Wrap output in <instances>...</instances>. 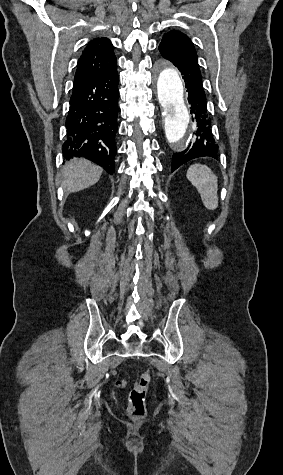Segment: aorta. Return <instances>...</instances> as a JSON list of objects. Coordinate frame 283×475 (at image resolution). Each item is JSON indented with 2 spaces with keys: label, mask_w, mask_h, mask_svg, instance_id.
<instances>
[{
  "label": "aorta",
  "mask_w": 283,
  "mask_h": 475,
  "mask_svg": "<svg viewBox=\"0 0 283 475\" xmlns=\"http://www.w3.org/2000/svg\"><path fill=\"white\" fill-rule=\"evenodd\" d=\"M157 94L163 109V129L167 144L183 151L192 136V124L184 101L182 80L173 67L161 65L157 69Z\"/></svg>",
  "instance_id": "obj_1"
}]
</instances>
